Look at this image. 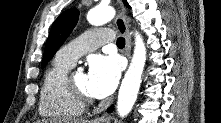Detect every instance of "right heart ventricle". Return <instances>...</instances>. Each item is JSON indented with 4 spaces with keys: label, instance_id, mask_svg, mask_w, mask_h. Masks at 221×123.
<instances>
[{
    "label": "right heart ventricle",
    "instance_id": "right-heart-ventricle-1",
    "mask_svg": "<svg viewBox=\"0 0 221 123\" xmlns=\"http://www.w3.org/2000/svg\"><path fill=\"white\" fill-rule=\"evenodd\" d=\"M72 64L56 56L47 68L40 91L39 113L41 116L65 120L79 117L84 106L69 92L66 77Z\"/></svg>",
    "mask_w": 221,
    "mask_h": 123
}]
</instances>
